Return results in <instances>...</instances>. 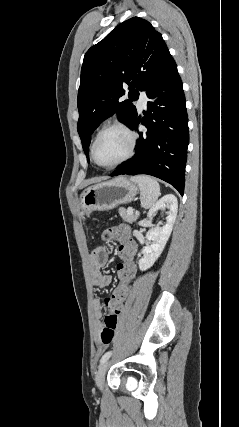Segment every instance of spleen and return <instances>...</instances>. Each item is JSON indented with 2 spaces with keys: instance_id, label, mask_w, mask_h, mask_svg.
Masks as SVG:
<instances>
[{
  "instance_id": "obj_1",
  "label": "spleen",
  "mask_w": 239,
  "mask_h": 427,
  "mask_svg": "<svg viewBox=\"0 0 239 427\" xmlns=\"http://www.w3.org/2000/svg\"><path fill=\"white\" fill-rule=\"evenodd\" d=\"M131 181L137 183L140 188L141 206L145 209L152 208L160 196L159 183L147 175L133 176Z\"/></svg>"
}]
</instances>
